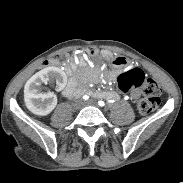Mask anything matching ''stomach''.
Here are the masks:
<instances>
[{"instance_id": "1", "label": "stomach", "mask_w": 183, "mask_h": 183, "mask_svg": "<svg viewBox=\"0 0 183 183\" xmlns=\"http://www.w3.org/2000/svg\"><path fill=\"white\" fill-rule=\"evenodd\" d=\"M127 62L124 57L118 56L111 61V64L114 68H121L124 67Z\"/></svg>"}]
</instances>
